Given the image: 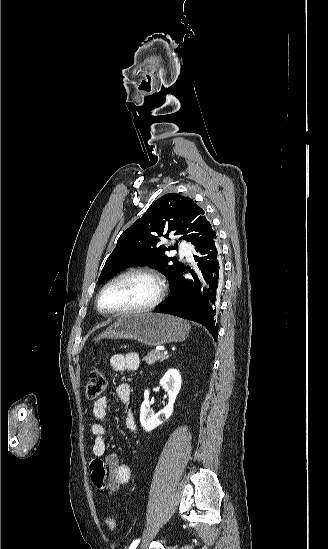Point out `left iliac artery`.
Returning <instances> with one entry per match:
<instances>
[{
  "label": "left iliac artery",
  "instance_id": "1",
  "mask_svg": "<svg viewBox=\"0 0 328 549\" xmlns=\"http://www.w3.org/2000/svg\"><path fill=\"white\" fill-rule=\"evenodd\" d=\"M139 542H140V539H137V540L133 541V543L130 545L129 549H136Z\"/></svg>",
  "mask_w": 328,
  "mask_h": 549
}]
</instances>
